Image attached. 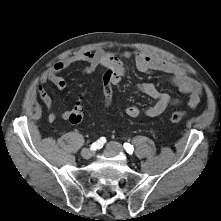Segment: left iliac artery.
I'll return each instance as SVG.
<instances>
[{
  "instance_id": "44dca946",
  "label": "left iliac artery",
  "mask_w": 221,
  "mask_h": 221,
  "mask_svg": "<svg viewBox=\"0 0 221 221\" xmlns=\"http://www.w3.org/2000/svg\"><path fill=\"white\" fill-rule=\"evenodd\" d=\"M124 148L126 149L127 153L132 154L133 153V146L129 143H124Z\"/></svg>"
}]
</instances>
